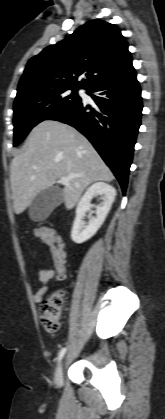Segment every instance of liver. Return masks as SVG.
<instances>
[{"instance_id":"6515ba94","label":"liver","mask_w":165,"mask_h":419,"mask_svg":"<svg viewBox=\"0 0 165 419\" xmlns=\"http://www.w3.org/2000/svg\"><path fill=\"white\" fill-rule=\"evenodd\" d=\"M10 182L16 214L26 210L42 191L61 177L73 176L63 189L67 209H72L84 189L114 176L88 139L75 128L45 120L32 129L11 164Z\"/></svg>"}]
</instances>
